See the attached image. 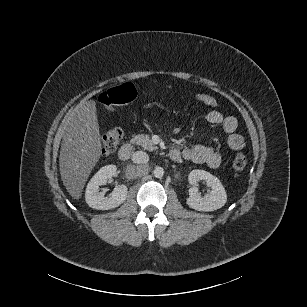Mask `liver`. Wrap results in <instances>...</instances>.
I'll list each match as a JSON object with an SVG mask.
<instances>
[{
  "label": "liver",
  "mask_w": 307,
  "mask_h": 307,
  "mask_svg": "<svg viewBox=\"0 0 307 307\" xmlns=\"http://www.w3.org/2000/svg\"><path fill=\"white\" fill-rule=\"evenodd\" d=\"M63 125L65 133L59 156L60 174L68 193L78 200L101 156L96 102L90 100L77 105L65 117Z\"/></svg>",
  "instance_id": "obj_1"
}]
</instances>
